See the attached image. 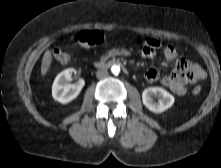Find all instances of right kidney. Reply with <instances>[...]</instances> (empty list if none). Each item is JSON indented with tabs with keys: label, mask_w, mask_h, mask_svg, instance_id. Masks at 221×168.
I'll use <instances>...</instances> for the list:
<instances>
[{
	"label": "right kidney",
	"mask_w": 221,
	"mask_h": 168,
	"mask_svg": "<svg viewBox=\"0 0 221 168\" xmlns=\"http://www.w3.org/2000/svg\"><path fill=\"white\" fill-rule=\"evenodd\" d=\"M74 69L69 68L57 75L52 86V96L55 100L62 104L69 103L74 100L84 87V80L79 79L75 84H70Z\"/></svg>",
	"instance_id": "ca27d5eb"
}]
</instances>
